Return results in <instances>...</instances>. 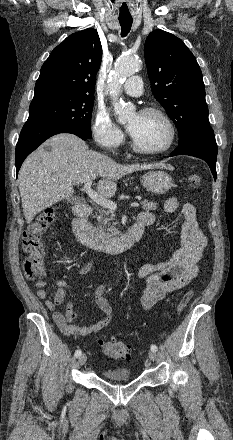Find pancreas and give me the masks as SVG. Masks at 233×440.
I'll return each instance as SVG.
<instances>
[{"label": "pancreas", "mask_w": 233, "mask_h": 440, "mask_svg": "<svg viewBox=\"0 0 233 440\" xmlns=\"http://www.w3.org/2000/svg\"><path fill=\"white\" fill-rule=\"evenodd\" d=\"M142 209L144 211H154L157 209V203L148 202L147 200L142 201ZM114 218V212L112 210H101L98 216V224L96 234L102 239H108L113 235H117L118 231L115 228V223L111 224L110 221ZM108 232L106 233L105 230Z\"/></svg>", "instance_id": "obj_1"}]
</instances>
